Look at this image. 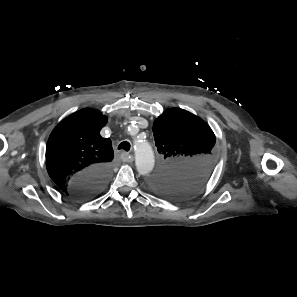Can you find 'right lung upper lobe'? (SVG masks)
Here are the masks:
<instances>
[{
	"label": "right lung upper lobe",
	"instance_id": "cb5924a9",
	"mask_svg": "<svg viewBox=\"0 0 297 297\" xmlns=\"http://www.w3.org/2000/svg\"><path fill=\"white\" fill-rule=\"evenodd\" d=\"M107 116L95 109L79 110L52 131L46 147V166L52 180L64 192L75 175L113 160L112 143L100 130Z\"/></svg>",
	"mask_w": 297,
	"mask_h": 297
}]
</instances>
